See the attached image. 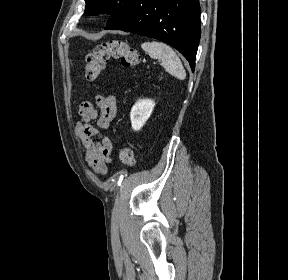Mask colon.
I'll use <instances>...</instances> for the list:
<instances>
[{"label":"colon","instance_id":"colon-1","mask_svg":"<svg viewBox=\"0 0 288 280\" xmlns=\"http://www.w3.org/2000/svg\"><path fill=\"white\" fill-rule=\"evenodd\" d=\"M120 59L124 66L133 67L141 62L138 51L127 41L120 39L108 40L98 45L86 57L85 78L87 81L96 80L106 64L111 59ZM120 161L129 167L136 164L133 152L128 148L119 149Z\"/></svg>","mask_w":288,"mask_h":280}]
</instances>
